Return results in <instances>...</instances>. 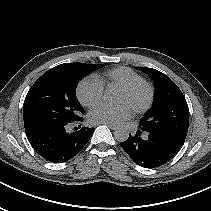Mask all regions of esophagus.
<instances>
[{
    "label": "esophagus",
    "instance_id": "34e87169",
    "mask_svg": "<svg viewBox=\"0 0 211 211\" xmlns=\"http://www.w3.org/2000/svg\"><path fill=\"white\" fill-rule=\"evenodd\" d=\"M104 125L108 126L110 129L114 130L116 129V125H113V124H109V123H104Z\"/></svg>",
    "mask_w": 211,
    "mask_h": 211
}]
</instances>
